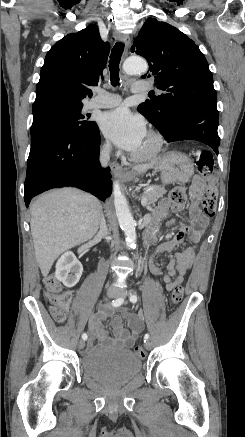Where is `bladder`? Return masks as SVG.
<instances>
[{
	"label": "bladder",
	"instance_id": "bladder-1",
	"mask_svg": "<svg viewBox=\"0 0 245 437\" xmlns=\"http://www.w3.org/2000/svg\"><path fill=\"white\" fill-rule=\"evenodd\" d=\"M141 360L128 349L96 348L85 353L82 370L91 378L108 385H123L141 370Z\"/></svg>",
	"mask_w": 245,
	"mask_h": 437
}]
</instances>
